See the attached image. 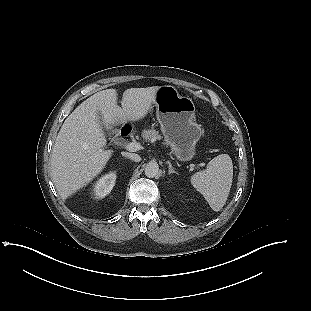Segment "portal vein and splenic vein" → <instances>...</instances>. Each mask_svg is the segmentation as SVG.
Wrapping results in <instances>:
<instances>
[{"mask_svg": "<svg viewBox=\"0 0 311 311\" xmlns=\"http://www.w3.org/2000/svg\"><path fill=\"white\" fill-rule=\"evenodd\" d=\"M125 148L128 150V151H131V152H135V151H138L141 149V145L139 143H134V142H131V143H128ZM201 166H203V164H201Z\"/></svg>", "mask_w": 311, "mask_h": 311, "instance_id": "1", "label": "portal vein and splenic vein"}]
</instances>
